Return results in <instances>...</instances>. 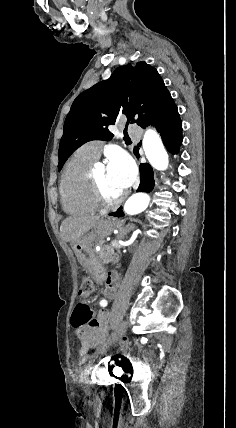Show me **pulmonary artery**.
Here are the masks:
<instances>
[{"mask_svg":"<svg viewBox=\"0 0 236 428\" xmlns=\"http://www.w3.org/2000/svg\"><path fill=\"white\" fill-rule=\"evenodd\" d=\"M102 146L100 145H94V143H90L85 145V151L88 156H90L92 159L96 160L100 153H101Z\"/></svg>","mask_w":236,"mask_h":428,"instance_id":"pulmonary-artery-1","label":"pulmonary artery"}]
</instances>
